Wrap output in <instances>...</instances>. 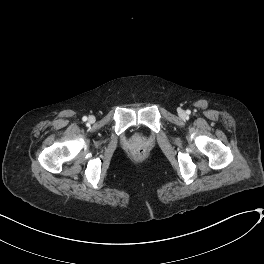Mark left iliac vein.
Instances as JSON below:
<instances>
[{"mask_svg":"<svg viewBox=\"0 0 264 264\" xmlns=\"http://www.w3.org/2000/svg\"><path fill=\"white\" fill-rule=\"evenodd\" d=\"M179 113H180L181 116H184L185 115V113H184L183 110H181Z\"/></svg>","mask_w":264,"mask_h":264,"instance_id":"left-iliac-vein-1","label":"left iliac vein"}]
</instances>
